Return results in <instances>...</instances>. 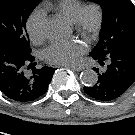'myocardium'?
<instances>
[{"instance_id":"f54148a6","label":"myocardium","mask_w":135,"mask_h":135,"mask_svg":"<svg viewBox=\"0 0 135 135\" xmlns=\"http://www.w3.org/2000/svg\"><path fill=\"white\" fill-rule=\"evenodd\" d=\"M103 23L104 12L96 2L84 4L73 22L75 29L89 40L98 36Z\"/></svg>"}]
</instances>
